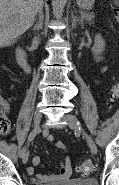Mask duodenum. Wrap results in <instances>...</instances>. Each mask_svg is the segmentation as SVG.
Listing matches in <instances>:
<instances>
[{
	"label": "duodenum",
	"instance_id": "obj_1",
	"mask_svg": "<svg viewBox=\"0 0 119 185\" xmlns=\"http://www.w3.org/2000/svg\"><path fill=\"white\" fill-rule=\"evenodd\" d=\"M16 59L18 64L26 71L27 73L31 72V66L27 59L26 51L22 47L16 49Z\"/></svg>",
	"mask_w": 119,
	"mask_h": 185
}]
</instances>
